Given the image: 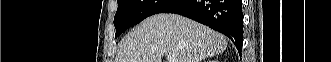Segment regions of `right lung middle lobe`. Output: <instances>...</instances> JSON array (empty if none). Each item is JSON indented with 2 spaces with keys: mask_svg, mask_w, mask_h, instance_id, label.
Masks as SVG:
<instances>
[{
  "mask_svg": "<svg viewBox=\"0 0 331 62\" xmlns=\"http://www.w3.org/2000/svg\"><path fill=\"white\" fill-rule=\"evenodd\" d=\"M179 0H117L118 8L114 17L115 37L145 18L161 13Z\"/></svg>",
  "mask_w": 331,
  "mask_h": 62,
  "instance_id": "1",
  "label": "right lung middle lobe"
}]
</instances>
